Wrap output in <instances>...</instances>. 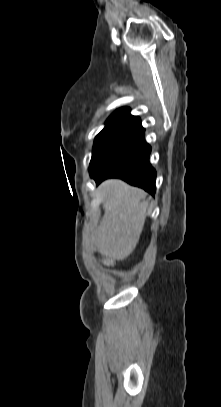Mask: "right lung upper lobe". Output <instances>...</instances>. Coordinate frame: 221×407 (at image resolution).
Wrapping results in <instances>:
<instances>
[{
    "instance_id": "obj_1",
    "label": "right lung upper lobe",
    "mask_w": 221,
    "mask_h": 407,
    "mask_svg": "<svg viewBox=\"0 0 221 407\" xmlns=\"http://www.w3.org/2000/svg\"><path fill=\"white\" fill-rule=\"evenodd\" d=\"M122 127L140 129L141 120L137 116H132L129 108H120L109 117L103 130Z\"/></svg>"
}]
</instances>
